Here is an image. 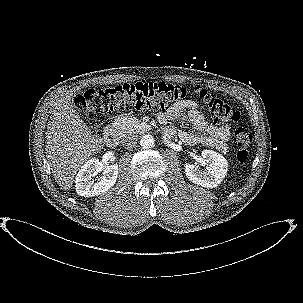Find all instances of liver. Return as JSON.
I'll list each match as a JSON object with an SVG mask.
<instances>
[{
	"label": "liver",
	"mask_w": 303,
	"mask_h": 303,
	"mask_svg": "<svg viewBox=\"0 0 303 303\" xmlns=\"http://www.w3.org/2000/svg\"><path fill=\"white\" fill-rule=\"evenodd\" d=\"M74 92L69 90L58 98L46 131V156L64 190L71 189L81 165L101 150L103 142L76 114Z\"/></svg>",
	"instance_id": "obj_1"
}]
</instances>
